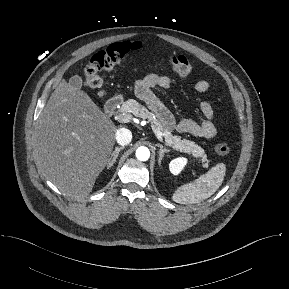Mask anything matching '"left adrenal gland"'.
<instances>
[{"label": "left adrenal gland", "mask_w": 289, "mask_h": 289, "mask_svg": "<svg viewBox=\"0 0 289 289\" xmlns=\"http://www.w3.org/2000/svg\"><path fill=\"white\" fill-rule=\"evenodd\" d=\"M157 146L160 148L158 163H159V165H161V161H162L165 153H169L170 150L165 148L162 144H158Z\"/></svg>", "instance_id": "left-adrenal-gland-1"}]
</instances>
